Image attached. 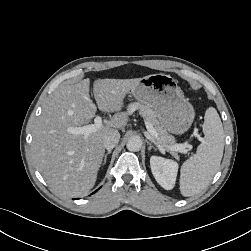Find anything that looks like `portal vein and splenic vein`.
I'll return each mask as SVG.
<instances>
[{
  "instance_id": "obj_1",
  "label": "portal vein and splenic vein",
  "mask_w": 251,
  "mask_h": 251,
  "mask_svg": "<svg viewBox=\"0 0 251 251\" xmlns=\"http://www.w3.org/2000/svg\"><path fill=\"white\" fill-rule=\"evenodd\" d=\"M101 126H102V118L100 116H96L94 119V124H89V125H85L82 127H71L68 129V132L71 134H74V135L81 134V135H84L85 137H87L90 133L97 131ZM145 126H146L147 131L150 133L151 138L153 140H156L157 132L154 130L153 126L147 122H145ZM199 140H202V138L199 137ZM157 144H158V147L161 148V146L158 142H157ZM189 147H191V146L187 143L176 144V145L171 146L170 150L181 152V153H187L188 152L187 148H189Z\"/></svg>"
}]
</instances>
